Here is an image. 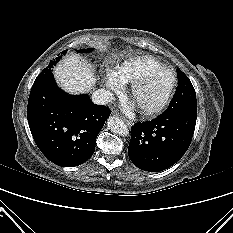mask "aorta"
Returning a JSON list of instances; mask_svg holds the SVG:
<instances>
[{
  "instance_id": "1",
  "label": "aorta",
  "mask_w": 233,
  "mask_h": 233,
  "mask_svg": "<svg viewBox=\"0 0 233 233\" xmlns=\"http://www.w3.org/2000/svg\"><path fill=\"white\" fill-rule=\"evenodd\" d=\"M108 127L109 129L116 134H119L121 136L128 135V128L126 124L121 120L119 117L111 116L108 119Z\"/></svg>"
}]
</instances>
